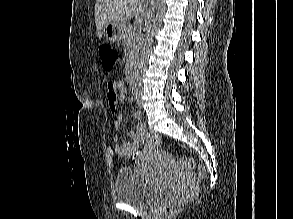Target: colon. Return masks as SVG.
Listing matches in <instances>:
<instances>
[{
	"label": "colon",
	"instance_id": "obj_1",
	"mask_svg": "<svg viewBox=\"0 0 293 219\" xmlns=\"http://www.w3.org/2000/svg\"><path fill=\"white\" fill-rule=\"evenodd\" d=\"M100 58L102 66L106 71H112L119 61L118 52L109 45H105L100 49ZM145 150H150L157 147L161 143V137L155 132L147 134ZM138 152L134 154V157L138 156ZM179 166L190 172H197V176L200 179H206L207 171L202 167H198L195 161L189 157H181L179 159Z\"/></svg>",
	"mask_w": 293,
	"mask_h": 219
}]
</instances>
